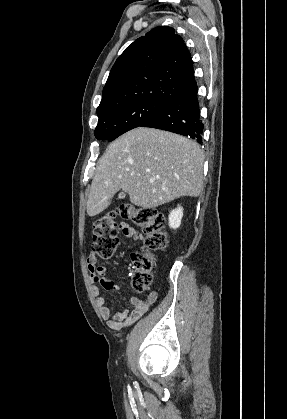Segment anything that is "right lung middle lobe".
I'll use <instances>...</instances> for the list:
<instances>
[{
    "mask_svg": "<svg viewBox=\"0 0 287 419\" xmlns=\"http://www.w3.org/2000/svg\"><path fill=\"white\" fill-rule=\"evenodd\" d=\"M165 104L157 101H139L98 114L99 121L94 135L99 140L113 141L123 133L139 127Z\"/></svg>",
    "mask_w": 287,
    "mask_h": 419,
    "instance_id": "obj_1",
    "label": "right lung middle lobe"
}]
</instances>
